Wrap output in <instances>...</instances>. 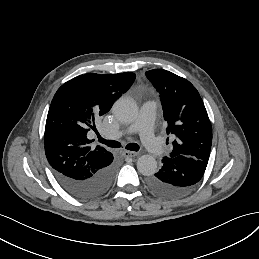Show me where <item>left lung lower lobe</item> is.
Instances as JSON below:
<instances>
[{"instance_id":"1","label":"left lung lower lobe","mask_w":259,"mask_h":259,"mask_svg":"<svg viewBox=\"0 0 259 259\" xmlns=\"http://www.w3.org/2000/svg\"><path fill=\"white\" fill-rule=\"evenodd\" d=\"M162 162L160 171L148 177L147 185L151 191L164 198H179L192 191L208 163L184 155L164 157Z\"/></svg>"}]
</instances>
